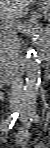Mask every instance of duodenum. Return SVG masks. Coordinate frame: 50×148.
<instances>
[{"label":"duodenum","instance_id":"1","mask_svg":"<svg viewBox=\"0 0 50 148\" xmlns=\"http://www.w3.org/2000/svg\"><path fill=\"white\" fill-rule=\"evenodd\" d=\"M45 60H47L48 58L45 56L43 57ZM15 82V78L8 74V73H4L3 74V78H2V83L5 84V85H8V84H11V83H14Z\"/></svg>","mask_w":50,"mask_h":148}]
</instances>
